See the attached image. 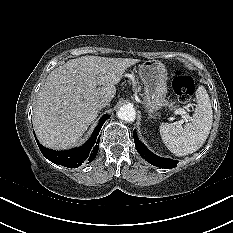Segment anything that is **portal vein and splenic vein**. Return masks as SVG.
I'll return each instance as SVG.
<instances>
[{
  "label": "portal vein and splenic vein",
  "mask_w": 233,
  "mask_h": 233,
  "mask_svg": "<svg viewBox=\"0 0 233 233\" xmlns=\"http://www.w3.org/2000/svg\"><path fill=\"white\" fill-rule=\"evenodd\" d=\"M175 115H181L182 116V120L178 121V124L181 126L184 122H187L188 120H190L191 118L189 117V115L187 114V112L183 109H177L174 111Z\"/></svg>",
  "instance_id": "18ae733b"
}]
</instances>
